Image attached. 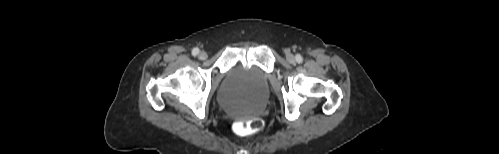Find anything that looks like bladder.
I'll use <instances>...</instances> for the list:
<instances>
[{"label": "bladder", "instance_id": "bladder-1", "mask_svg": "<svg viewBox=\"0 0 499 154\" xmlns=\"http://www.w3.org/2000/svg\"><path fill=\"white\" fill-rule=\"evenodd\" d=\"M268 76L256 66H236L221 85L217 99L221 107L238 115H253L267 101Z\"/></svg>", "mask_w": 499, "mask_h": 154}]
</instances>
